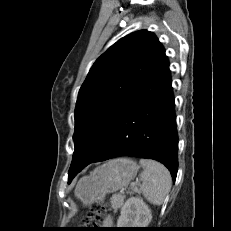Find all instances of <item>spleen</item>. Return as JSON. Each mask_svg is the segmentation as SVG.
Here are the masks:
<instances>
[{
	"instance_id": "obj_1",
	"label": "spleen",
	"mask_w": 231,
	"mask_h": 231,
	"mask_svg": "<svg viewBox=\"0 0 231 231\" xmlns=\"http://www.w3.org/2000/svg\"><path fill=\"white\" fill-rule=\"evenodd\" d=\"M143 171L140 178L143 180L141 193L144 198L154 205H161L171 188V175L167 168L159 162L150 159H141Z\"/></svg>"
}]
</instances>
